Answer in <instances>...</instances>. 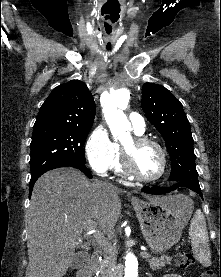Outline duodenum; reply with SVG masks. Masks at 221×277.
Here are the masks:
<instances>
[{
  "instance_id": "obj_1",
  "label": "duodenum",
  "mask_w": 221,
  "mask_h": 277,
  "mask_svg": "<svg viewBox=\"0 0 221 277\" xmlns=\"http://www.w3.org/2000/svg\"><path fill=\"white\" fill-rule=\"evenodd\" d=\"M101 264V257L98 253H93L89 263L84 267L78 274L77 277H92L94 272H96Z\"/></svg>"
}]
</instances>
